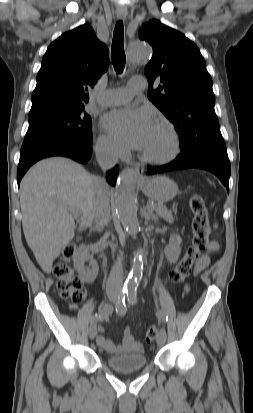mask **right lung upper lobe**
Returning a JSON list of instances; mask_svg holds the SVG:
<instances>
[{
    "instance_id": "1",
    "label": "right lung upper lobe",
    "mask_w": 253,
    "mask_h": 413,
    "mask_svg": "<svg viewBox=\"0 0 253 413\" xmlns=\"http://www.w3.org/2000/svg\"><path fill=\"white\" fill-rule=\"evenodd\" d=\"M108 65V48L88 24L64 33L42 59L30 112L84 105Z\"/></svg>"
}]
</instances>
